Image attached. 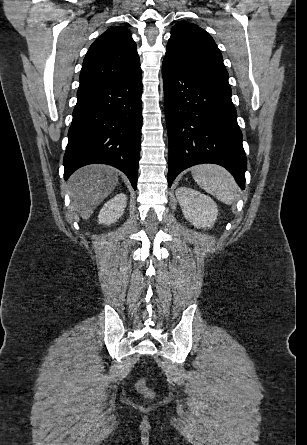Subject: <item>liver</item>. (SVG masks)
<instances>
[{
    "mask_svg": "<svg viewBox=\"0 0 307 445\" xmlns=\"http://www.w3.org/2000/svg\"><path fill=\"white\" fill-rule=\"evenodd\" d=\"M118 182L117 170L107 164H88L68 180L71 206L87 220L96 206L111 194Z\"/></svg>",
    "mask_w": 307,
    "mask_h": 445,
    "instance_id": "liver-1",
    "label": "liver"
}]
</instances>
